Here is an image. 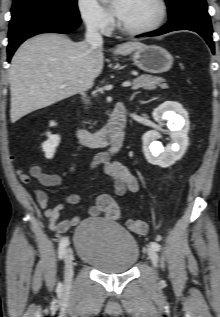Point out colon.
<instances>
[{"label": "colon", "mask_w": 220, "mask_h": 317, "mask_svg": "<svg viewBox=\"0 0 220 317\" xmlns=\"http://www.w3.org/2000/svg\"><path fill=\"white\" fill-rule=\"evenodd\" d=\"M103 211L104 215L111 220H117L120 218V208L111 197L104 200ZM127 224L129 229L136 234L144 235L147 233V224L140 219H130Z\"/></svg>", "instance_id": "colon-1"}]
</instances>
